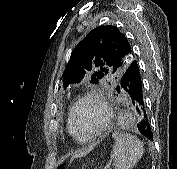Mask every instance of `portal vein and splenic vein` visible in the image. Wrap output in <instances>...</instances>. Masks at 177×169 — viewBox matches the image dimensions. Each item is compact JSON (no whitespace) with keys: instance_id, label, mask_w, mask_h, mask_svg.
Segmentation results:
<instances>
[{"instance_id":"portal-vein-and-splenic-vein-1","label":"portal vein and splenic vein","mask_w":177,"mask_h":169,"mask_svg":"<svg viewBox=\"0 0 177 169\" xmlns=\"http://www.w3.org/2000/svg\"><path fill=\"white\" fill-rule=\"evenodd\" d=\"M111 168H112L111 163H108V164L104 167V169H111Z\"/></svg>"}]
</instances>
